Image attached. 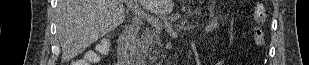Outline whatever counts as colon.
<instances>
[{
    "label": "colon",
    "instance_id": "5ec220e1",
    "mask_svg": "<svg viewBox=\"0 0 309 65\" xmlns=\"http://www.w3.org/2000/svg\"><path fill=\"white\" fill-rule=\"evenodd\" d=\"M254 21L256 22V27L254 29L253 39L254 43L257 46H262L265 43V31H264V23L266 21L267 13L264 5L262 3H257L254 7ZM108 45L107 43H103L100 47L98 52L103 53L107 51ZM88 60L97 61L98 60V53L94 51H87L84 54V58L82 60H78L74 63V65H90Z\"/></svg>",
    "mask_w": 309,
    "mask_h": 65
}]
</instances>
